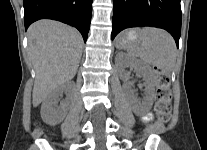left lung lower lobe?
Masks as SVG:
<instances>
[{"mask_svg":"<svg viewBox=\"0 0 207 150\" xmlns=\"http://www.w3.org/2000/svg\"><path fill=\"white\" fill-rule=\"evenodd\" d=\"M113 13L112 39L125 28L152 26L167 30L179 46L180 0H114Z\"/></svg>","mask_w":207,"mask_h":150,"instance_id":"left-lung-lower-lobe-1","label":"left lung lower lobe"}]
</instances>
